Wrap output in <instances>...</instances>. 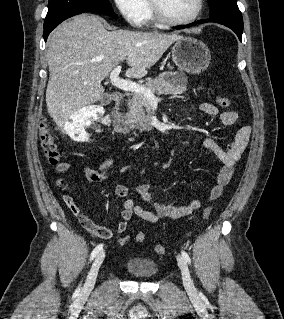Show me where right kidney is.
Segmentation results:
<instances>
[{
	"label": "right kidney",
	"mask_w": 284,
	"mask_h": 319,
	"mask_svg": "<svg viewBox=\"0 0 284 319\" xmlns=\"http://www.w3.org/2000/svg\"><path fill=\"white\" fill-rule=\"evenodd\" d=\"M101 110L95 106H86L77 110L71 117L70 121L64 126L65 132L77 142H85L89 140V134L85 131V127L89 124V120L95 117Z\"/></svg>",
	"instance_id": "right-kidney-1"
}]
</instances>
